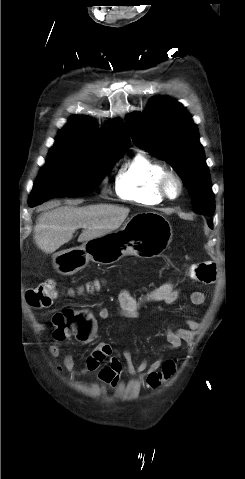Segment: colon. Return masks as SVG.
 <instances>
[{
  "mask_svg": "<svg viewBox=\"0 0 245 479\" xmlns=\"http://www.w3.org/2000/svg\"><path fill=\"white\" fill-rule=\"evenodd\" d=\"M191 275L202 283H212L216 277V266L210 261H203L192 265ZM58 296L56 283L53 279L46 280L39 285L30 288L25 293L28 305L34 308L49 306ZM86 323L85 315L73 310H65L56 313L52 318L54 326L53 338L66 340L78 333ZM177 369L176 360H166L160 371L151 373L147 378V384L151 388H157L167 381Z\"/></svg>",
  "mask_w": 245,
  "mask_h": 479,
  "instance_id": "colon-1",
  "label": "colon"
}]
</instances>
